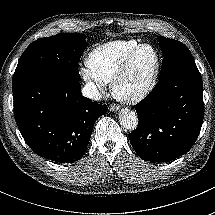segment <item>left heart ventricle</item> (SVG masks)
Here are the masks:
<instances>
[{
  "label": "left heart ventricle",
  "mask_w": 215,
  "mask_h": 215,
  "mask_svg": "<svg viewBox=\"0 0 215 215\" xmlns=\"http://www.w3.org/2000/svg\"><path fill=\"white\" fill-rule=\"evenodd\" d=\"M154 59V52L151 48H142L135 56L128 74L120 84L121 92L130 94L136 91L142 85L147 72L153 66Z\"/></svg>",
  "instance_id": "obj_1"
}]
</instances>
